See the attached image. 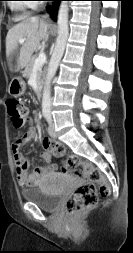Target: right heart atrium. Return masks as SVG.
<instances>
[{
    "instance_id": "1",
    "label": "right heart atrium",
    "mask_w": 133,
    "mask_h": 253,
    "mask_svg": "<svg viewBox=\"0 0 133 253\" xmlns=\"http://www.w3.org/2000/svg\"><path fill=\"white\" fill-rule=\"evenodd\" d=\"M30 1H34V0H30ZM29 5H30V6L34 5V2H30Z\"/></svg>"
}]
</instances>
